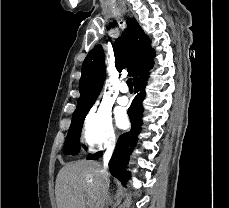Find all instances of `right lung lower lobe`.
I'll return each mask as SVG.
<instances>
[{"label": "right lung lower lobe", "mask_w": 229, "mask_h": 208, "mask_svg": "<svg viewBox=\"0 0 229 208\" xmlns=\"http://www.w3.org/2000/svg\"><path fill=\"white\" fill-rule=\"evenodd\" d=\"M148 79V73L139 77L134 81L136 96L133 99L131 106L128 109V115L132 124L130 132L124 133L118 139L115 151L109 162V170L111 174L120 180L123 184L129 179L130 174L125 173V168L129 161L130 151L133 150L137 143V135L140 130L141 116L143 112L142 101L145 97V85ZM102 152L87 157L89 160H96L100 158Z\"/></svg>", "instance_id": "right-lung-lower-lobe-1"}]
</instances>
